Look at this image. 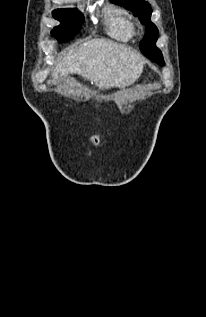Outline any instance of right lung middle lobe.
Segmentation results:
<instances>
[{
    "label": "right lung middle lobe",
    "instance_id": "1",
    "mask_svg": "<svg viewBox=\"0 0 206 317\" xmlns=\"http://www.w3.org/2000/svg\"><path fill=\"white\" fill-rule=\"evenodd\" d=\"M52 16L61 21L51 34L58 42H66L72 39L80 30L83 22V15L74 9H58L52 12Z\"/></svg>",
    "mask_w": 206,
    "mask_h": 317
}]
</instances>
